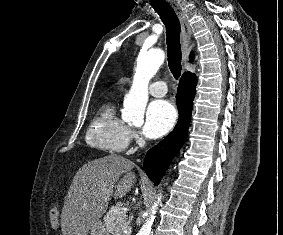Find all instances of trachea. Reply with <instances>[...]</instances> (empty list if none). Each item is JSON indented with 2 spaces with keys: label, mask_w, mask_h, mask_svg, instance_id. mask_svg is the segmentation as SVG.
Instances as JSON below:
<instances>
[{
  "label": "trachea",
  "mask_w": 283,
  "mask_h": 235,
  "mask_svg": "<svg viewBox=\"0 0 283 235\" xmlns=\"http://www.w3.org/2000/svg\"><path fill=\"white\" fill-rule=\"evenodd\" d=\"M154 10L159 14L166 27V43L168 66L175 79L181 74V45H180V22L172 9L166 2L152 3Z\"/></svg>",
  "instance_id": "obj_1"
}]
</instances>
